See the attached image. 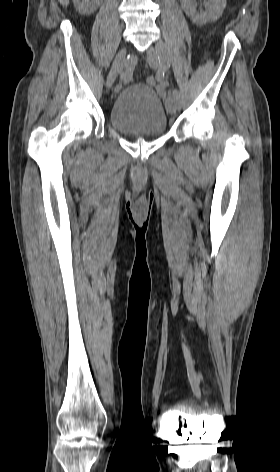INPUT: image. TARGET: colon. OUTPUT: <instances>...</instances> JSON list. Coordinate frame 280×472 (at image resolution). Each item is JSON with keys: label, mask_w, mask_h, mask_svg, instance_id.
<instances>
[{"label": "colon", "mask_w": 280, "mask_h": 472, "mask_svg": "<svg viewBox=\"0 0 280 472\" xmlns=\"http://www.w3.org/2000/svg\"><path fill=\"white\" fill-rule=\"evenodd\" d=\"M146 82H147V84L150 85V86H155V85H157V83H158L157 78H156L155 76H149V77H147Z\"/></svg>", "instance_id": "1"}]
</instances>
